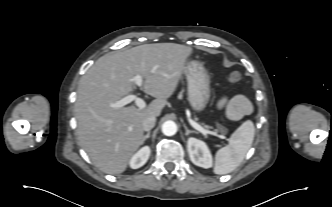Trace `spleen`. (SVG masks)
<instances>
[{"label": "spleen", "instance_id": "spleen-1", "mask_svg": "<svg viewBox=\"0 0 332 207\" xmlns=\"http://www.w3.org/2000/svg\"><path fill=\"white\" fill-rule=\"evenodd\" d=\"M255 128L252 121H245L229 139V144L215 155L214 173L228 174L235 170L245 158L254 139Z\"/></svg>", "mask_w": 332, "mask_h": 207}]
</instances>
